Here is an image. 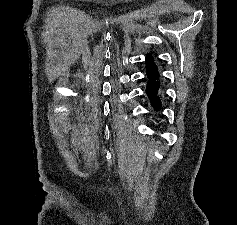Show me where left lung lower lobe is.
Instances as JSON below:
<instances>
[{"instance_id": "1", "label": "left lung lower lobe", "mask_w": 237, "mask_h": 225, "mask_svg": "<svg viewBox=\"0 0 237 225\" xmlns=\"http://www.w3.org/2000/svg\"><path fill=\"white\" fill-rule=\"evenodd\" d=\"M148 77H149V81L147 83L146 93L154 109L158 110L161 106V103L159 102V98H158V90L160 87V82L157 81L158 79L157 77H152V76H148Z\"/></svg>"}]
</instances>
